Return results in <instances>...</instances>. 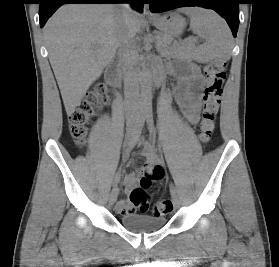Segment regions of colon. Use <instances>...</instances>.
I'll use <instances>...</instances> for the list:
<instances>
[{
  "mask_svg": "<svg viewBox=\"0 0 279 267\" xmlns=\"http://www.w3.org/2000/svg\"><path fill=\"white\" fill-rule=\"evenodd\" d=\"M206 87L203 94V109L199 124V138L206 143L210 140L215 127V121L221 104L223 83L226 78V61L216 59L204 68ZM110 95L106 85H100L87 98L82 100L69 116L70 133L77 145L85 143L87 125L98 111L109 101ZM163 171L155 167H146L141 178V186L130 193L131 203L140 211H147L150 207V197L147 189L153 181L162 177ZM153 213L157 216L166 215L172 210V203L168 199L156 202Z\"/></svg>",
  "mask_w": 279,
  "mask_h": 267,
  "instance_id": "colon-1",
  "label": "colon"
}]
</instances>
